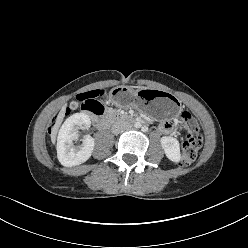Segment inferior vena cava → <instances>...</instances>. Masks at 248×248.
I'll return each mask as SVG.
<instances>
[{"instance_id": "602c4592", "label": "inferior vena cava", "mask_w": 248, "mask_h": 248, "mask_svg": "<svg viewBox=\"0 0 248 248\" xmlns=\"http://www.w3.org/2000/svg\"><path fill=\"white\" fill-rule=\"evenodd\" d=\"M130 128H131L130 124L123 123V122H116L112 126V132L114 134H119V133L123 132L124 130L130 129Z\"/></svg>"}]
</instances>
